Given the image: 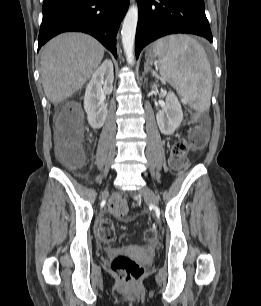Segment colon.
<instances>
[{
  "mask_svg": "<svg viewBox=\"0 0 261 306\" xmlns=\"http://www.w3.org/2000/svg\"><path fill=\"white\" fill-rule=\"evenodd\" d=\"M83 118L80 109L68 105L61 109L56 118L57 155L60 161L70 168H79L85 159L82 147ZM207 129L204 124L194 127L188 139L174 142L171 148L170 164L174 169H183L189 163L188 153L191 149H200L206 145ZM112 212L121 220H128V206L123 198L116 197L110 202ZM99 236L103 243L110 245L115 239V229L109 217L100 222ZM159 233L155 227L143 231V240L153 244ZM111 270L125 284L137 282L143 274V266L128 255H117L111 262Z\"/></svg>",
  "mask_w": 261,
  "mask_h": 306,
  "instance_id": "colon-1",
  "label": "colon"
}]
</instances>
